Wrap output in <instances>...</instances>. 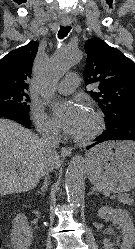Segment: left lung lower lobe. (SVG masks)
<instances>
[{"label":"left lung lower lobe","mask_w":135,"mask_h":249,"mask_svg":"<svg viewBox=\"0 0 135 249\" xmlns=\"http://www.w3.org/2000/svg\"><path fill=\"white\" fill-rule=\"evenodd\" d=\"M107 130L96 138L94 145L108 140H133L135 141V109H126L113 122H106Z\"/></svg>","instance_id":"0a47b994"}]
</instances>
